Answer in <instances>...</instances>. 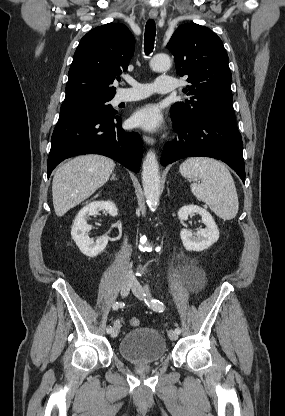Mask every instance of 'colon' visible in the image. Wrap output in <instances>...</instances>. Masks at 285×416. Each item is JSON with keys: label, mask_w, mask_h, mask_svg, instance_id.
I'll return each instance as SVG.
<instances>
[{"label": "colon", "mask_w": 285, "mask_h": 416, "mask_svg": "<svg viewBox=\"0 0 285 416\" xmlns=\"http://www.w3.org/2000/svg\"><path fill=\"white\" fill-rule=\"evenodd\" d=\"M139 323L140 322L137 318H131L130 321H129V324H130L131 327H136V326L139 325Z\"/></svg>", "instance_id": "obj_1"}]
</instances>
